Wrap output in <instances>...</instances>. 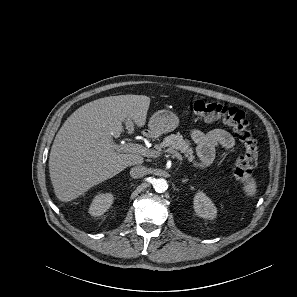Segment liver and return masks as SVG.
Listing matches in <instances>:
<instances>
[{
  "label": "liver",
  "instance_id": "1",
  "mask_svg": "<svg viewBox=\"0 0 297 297\" xmlns=\"http://www.w3.org/2000/svg\"><path fill=\"white\" fill-rule=\"evenodd\" d=\"M149 105L145 95L109 96L70 115L56 134L49 156L50 179L60 201L69 202L125 168L143 163L138 154L118 152L113 138L120 137L127 118L143 127Z\"/></svg>",
  "mask_w": 297,
  "mask_h": 297
}]
</instances>
